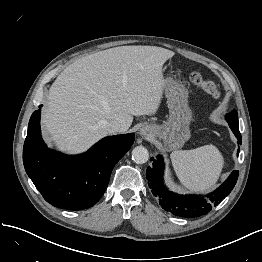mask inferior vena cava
<instances>
[{"mask_svg": "<svg viewBox=\"0 0 262 262\" xmlns=\"http://www.w3.org/2000/svg\"><path fill=\"white\" fill-rule=\"evenodd\" d=\"M104 127L109 133L124 132L127 130L125 125L116 120L107 122Z\"/></svg>", "mask_w": 262, "mask_h": 262, "instance_id": "obj_1", "label": "inferior vena cava"}]
</instances>
